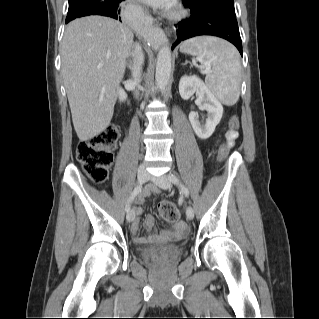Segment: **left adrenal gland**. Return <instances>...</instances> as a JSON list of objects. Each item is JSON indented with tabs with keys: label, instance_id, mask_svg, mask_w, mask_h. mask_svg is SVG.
<instances>
[{
	"label": "left adrenal gland",
	"instance_id": "a2214340",
	"mask_svg": "<svg viewBox=\"0 0 319 319\" xmlns=\"http://www.w3.org/2000/svg\"><path fill=\"white\" fill-rule=\"evenodd\" d=\"M187 64V62H185L184 64H182V65H186Z\"/></svg>",
	"mask_w": 319,
	"mask_h": 319
}]
</instances>
